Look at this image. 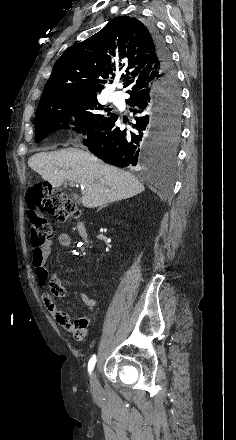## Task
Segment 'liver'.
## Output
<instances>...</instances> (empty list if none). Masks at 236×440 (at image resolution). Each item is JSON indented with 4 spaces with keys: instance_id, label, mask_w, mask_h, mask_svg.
Masks as SVG:
<instances>
[{
    "instance_id": "1",
    "label": "liver",
    "mask_w": 236,
    "mask_h": 440,
    "mask_svg": "<svg viewBox=\"0 0 236 440\" xmlns=\"http://www.w3.org/2000/svg\"><path fill=\"white\" fill-rule=\"evenodd\" d=\"M28 165L53 187H60L64 180L80 184L81 201L87 208L131 198L145 190L133 174L105 164L82 149L36 153Z\"/></svg>"
}]
</instances>
